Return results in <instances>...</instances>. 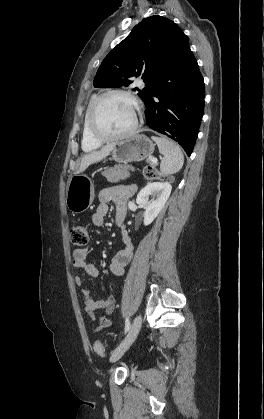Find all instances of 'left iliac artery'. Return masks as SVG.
I'll return each instance as SVG.
<instances>
[{
	"label": "left iliac artery",
	"mask_w": 264,
	"mask_h": 419,
	"mask_svg": "<svg viewBox=\"0 0 264 419\" xmlns=\"http://www.w3.org/2000/svg\"><path fill=\"white\" fill-rule=\"evenodd\" d=\"M129 328H130V321H129L128 318H126V321H125V333L129 330Z\"/></svg>",
	"instance_id": "44dca946"
}]
</instances>
